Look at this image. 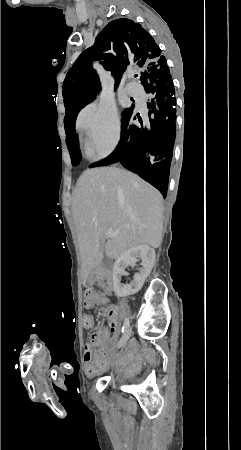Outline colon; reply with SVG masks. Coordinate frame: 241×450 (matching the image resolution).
<instances>
[{
    "mask_svg": "<svg viewBox=\"0 0 241 450\" xmlns=\"http://www.w3.org/2000/svg\"><path fill=\"white\" fill-rule=\"evenodd\" d=\"M109 306L107 309H101L99 312L102 314L108 311L111 315H114L116 313V310L114 309L117 306V303L115 301H111L109 303ZM79 325L84 326V328L90 329L93 328V315L87 314V315H80L79 316Z\"/></svg>",
    "mask_w": 241,
    "mask_h": 450,
    "instance_id": "obj_1",
    "label": "colon"
}]
</instances>
